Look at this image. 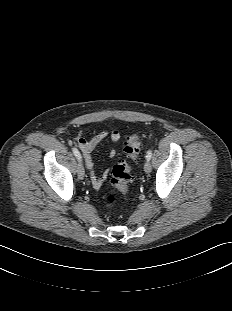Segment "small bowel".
Listing matches in <instances>:
<instances>
[{
  "mask_svg": "<svg viewBox=\"0 0 232 311\" xmlns=\"http://www.w3.org/2000/svg\"><path fill=\"white\" fill-rule=\"evenodd\" d=\"M109 135V138L112 142H117L121 133L119 130H113L109 133L107 130H102L99 133L95 134L91 139L86 140L81 136V133H78L75 137V143L79 149L83 152L86 166L90 172L91 181L94 187L100 188L103 185V182L107 176L106 173L102 175L101 178H98L95 174L91 152ZM116 155L115 150H111L109 156L113 158Z\"/></svg>",
  "mask_w": 232,
  "mask_h": 311,
  "instance_id": "c3829d8e",
  "label": "small bowel"
}]
</instances>
